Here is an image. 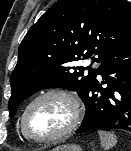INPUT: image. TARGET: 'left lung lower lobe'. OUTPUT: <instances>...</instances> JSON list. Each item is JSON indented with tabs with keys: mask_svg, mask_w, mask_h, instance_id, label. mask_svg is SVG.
I'll return each instance as SVG.
<instances>
[{
	"mask_svg": "<svg viewBox=\"0 0 131 151\" xmlns=\"http://www.w3.org/2000/svg\"><path fill=\"white\" fill-rule=\"evenodd\" d=\"M98 74L103 81L96 79ZM96 75L83 101L86 114L76 133L94 128L131 132V41L110 53Z\"/></svg>",
	"mask_w": 131,
	"mask_h": 151,
	"instance_id": "0a47b994",
	"label": "left lung lower lobe"
}]
</instances>
